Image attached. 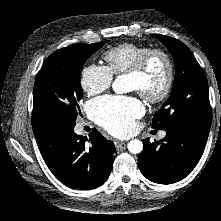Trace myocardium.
<instances>
[{"instance_id":"1","label":"myocardium","mask_w":221,"mask_h":221,"mask_svg":"<svg viewBox=\"0 0 221 221\" xmlns=\"http://www.w3.org/2000/svg\"><path fill=\"white\" fill-rule=\"evenodd\" d=\"M162 59L165 65V76L161 88L155 93H147L142 89L137 91L149 102H161L165 100L173 87L175 70L172 59L163 49L149 48L135 62V64L126 72L127 76H141L147 70L151 62L156 59Z\"/></svg>"}]
</instances>
